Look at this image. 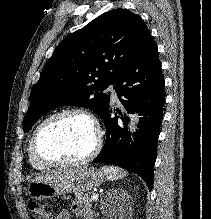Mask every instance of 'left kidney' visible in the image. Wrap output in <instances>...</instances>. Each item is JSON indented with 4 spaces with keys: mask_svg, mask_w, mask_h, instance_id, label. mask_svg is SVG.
Instances as JSON below:
<instances>
[{
    "mask_svg": "<svg viewBox=\"0 0 211 219\" xmlns=\"http://www.w3.org/2000/svg\"><path fill=\"white\" fill-rule=\"evenodd\" d=\"M114 192H115V193H119L117 190H115ZM122 194H123V195H122V198L120 199L121 202H119L118 205H123V203H122L123 200H125V198H128L127 193L123 192Z\"/></svg>",
    "mask_w": 211,
    "mask_h": 219,
    "instance_id": "obj_1",
    "label": "left kidney"
}]
</instances>
